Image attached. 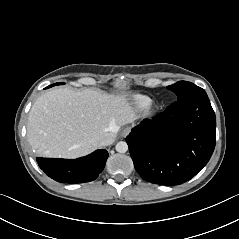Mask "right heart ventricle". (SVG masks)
<instances>
[{
  "mask_svg": "<svg viewBox=\"0 0 239 239\" xmlns=\"http://www.w3.org/2000/svg\"><path fill=\"white\" fill-rule=\"evenodd\" d=\"M133 100L139 108H146L151 104V99L143 95H135Z\"/></svg>",
  "mask_w": 239,
  "mask_h": 239,
  "instance_id": "obj_1",
  "label": "right heart ventricle"
}]
</instances>
